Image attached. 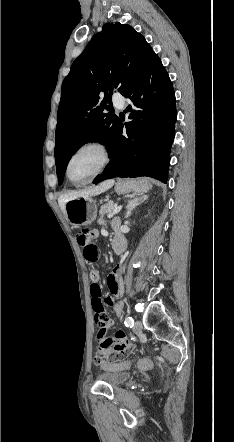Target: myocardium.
Here are the masks:
<instances>
[{
    "mask_svg": "<svg viewBox=\"0 0 234 442\" xmlns=\"http://www.w3.org/2000/svg\"><path fill=\"white\" fill-rule=\"evenodd\" d=\"M88 148L97 149L102 155V161H101L98 169L89 178H87L86 180L81 181V182H76L70 176L69 169H70L71 160L73 159V157L77 153H79L80 151H82L84 149H88ZM111 159H112V155H111L110 148L105 142L100 141V140H92V141L85 142V143L79 145L78 147H76L69 155L67 162H66V168H65L66 176H67L68 180L75 185H85V184L91 182L93 179H95L98 175H100L108 167V165L111 162Z\"/></svg>",
    "mask_w": 234,
    "mask_h": 442,
    "instance_id": "myocardium-1",
    "label": "myocardium"
}]
</instances>
